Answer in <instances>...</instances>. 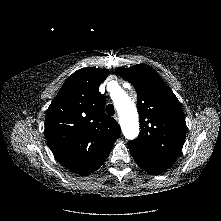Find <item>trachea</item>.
Segmentation results:
<instances>
[{"mask_svg":"<svg viewBox=\"0 0 221 221\" xmlns=\"http://www.w3.org/2000/svg\"><path fill=\"white\" fill-rule=\"evenodd\" d=\"M106 113L110 116H113L115 114V109H114V106L112 104H108L106 106Z\"/></svg>","mask_w":221,"mask_h":221,"instance_id":"obj_1","label":"trachea"}]
</instances>
